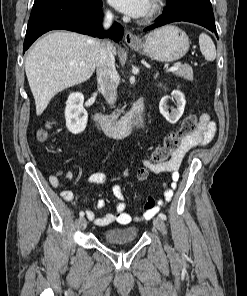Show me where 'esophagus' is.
Returning a JSON list of instances; mask_svg holds the SVG:
<instances>
[{
  "instance_id": "obj_1",
  "label": "esophagus",
  "mask_w": 247,
  "mask_h": 296,
  "mask_svg": "<svg viewBox=\"0 0 247 296\" xmlns=\"http://www.w3.org/2000/svg\"><path fill=\"white\" fill-rule=\"evenodd\" d=\"M139 41L138 37H136L131 31L127 30L125 32V42L129 45L135 44Z\"/></svg>"
}]
</instances>
